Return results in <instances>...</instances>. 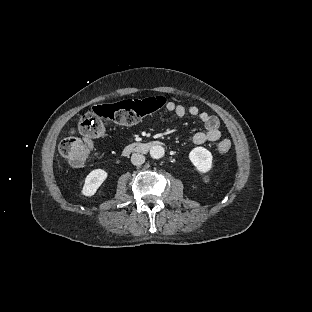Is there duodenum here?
Returning <instances> with one entry per match:
<instances>
[{"instance_id": "410a0bca", "label": "duodenum", "mask_w": 312, "mask_h": 312, "mask_svg": "<svg viewBox=\"0 0 312 312\" xmlns=\"http://www.w3.org/2000/svg\"><path fill=\"white\" fill-rule=\"evenodd\" d=\"M164 143L159 140H149L144 142L131 143L123 149L124 155H129L132 153H146L156 146H161Z\"/></svg>"}]
</instances>
